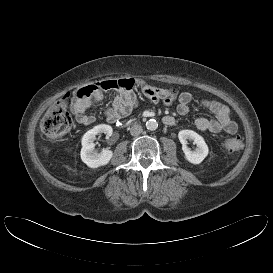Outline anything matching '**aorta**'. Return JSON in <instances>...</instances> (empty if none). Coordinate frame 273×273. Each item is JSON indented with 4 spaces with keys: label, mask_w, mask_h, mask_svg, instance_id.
<instances>
[{
    "label": "aorta",
    "mask_w": 273,
    "mask_h": 273,
    "mask_svg": "<svg viewBox=\"0 0 273 273\" xmlns=\"http://www.w3.org/2000/svg\"><path fill=\"white\" fill-rule=\"evenodd\" d=\"M158 127V123L155 119H150L146 122V128L150 131L156 130Z\"/></svg>",
    "instance_id": "762f6f07"
}]
</instances>
